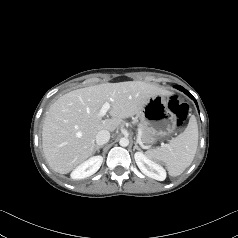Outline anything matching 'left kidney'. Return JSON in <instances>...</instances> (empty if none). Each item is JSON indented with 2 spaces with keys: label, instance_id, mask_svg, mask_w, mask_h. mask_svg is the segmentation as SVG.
<instances>
[{
  "label": "left kidney",
  "instance_id": "obj_1",
  "mask_svg": "<svg viewBox=\"0 0 238 238\" xmlns=\"http://www.w3.org/2000/svg\"><path fill=\"white\" fill-rule=\"evenodd\" d=\"M134 158L137 166L143 174L146 176L163 181L166 178V172L163 167L151 161L146 155L142 152H136Z\"/></svg>",
  "mask_w": 238,
  "mask_h": 238
}]
</instances>
